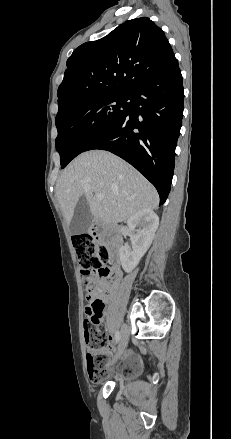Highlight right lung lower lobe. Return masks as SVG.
I'll return each instance as SVG.
<instances>
[{"label":"right lung lower lobe","mask_w":231,"mask_h":439,"mask_svg":"<svg viewBox=\"0 0 231 439\" xmlns=\"http://www.w3.org/2000/svg\"><path fill=\"white\" fill-rule=\"evenodd\" d=\"M183 100L182 75L174 59L131 94L129 110L84 151L107 150L129 162L155 186L162 205L171 189Z\"/></svg>","instance_id":"right-lung-lower-lobe-1"}]
</instances>
